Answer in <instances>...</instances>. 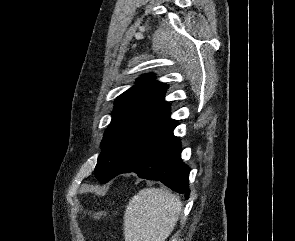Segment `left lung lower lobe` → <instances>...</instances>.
Instances as JSON below:
<instances>
[{"label":"left lung lower lobe","mask_w":295,"mask_h":241,"mask_svg":"<svg viewBox=\"0 0 295 241\" xmlns=\"http://www.w3.org/2000/svg\"><path fill=\"white\" fill-rule=\"evenodd\" d=\"M129 172L136 173L140 178L159 180L174 191L185 194L186 199L189 198L190 169L181 160L180 140L173 135V130L150 144L112 178Z\"/></svg>","instance_id":"obj_1"}]
</instances>
